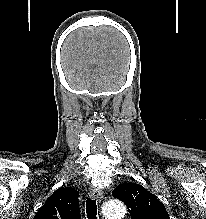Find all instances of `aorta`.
I'll return each mask as SVG.
<instances>
[{"label": "aorta", "mask_w": 206, "mask_h": 219, "mask_svg": "<svg viewBox=\"0 0 206 219\" xmlns=\"http://www.w3.org/2000/svg\"><path fill=\"white\" fill-rule=\"evenodd\" d=\"M126 213V207L123 202L119 200H111L103 207V214L105 219H121Z\"/></svg>", "instance_id": "1"}]
</instances>
